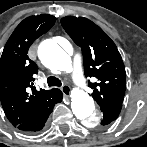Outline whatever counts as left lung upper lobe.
<instances>
[{"mask_svg":"<svg viewBox=\"0 0 147 147\" xmlns=\"http://www.w3.org/2000/svg\"><path fill=\"white\" fill-rule=\"evenodd\" d=\"M61 24L82 49L84 73L92 97L100 108L122 104L126 88L125 67L114 42L96 24L84 17L67 16Z\"/></svg>","mask_w":147,"mask_h":147,"instance_id":"1","label":"left lung upper lobe"}]
</instances>
